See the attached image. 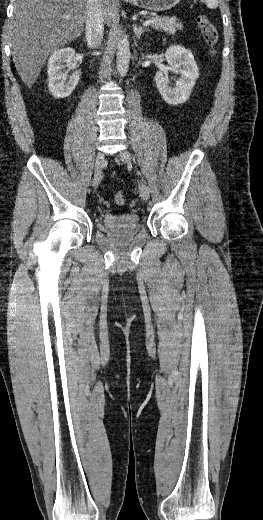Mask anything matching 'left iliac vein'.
Here are the masks:
<instances>
[{
	"instance_id": "1",
	"label": "left iliac vein",
	"mask_w": 263,
	"mask_h": 520,
	"mask_svg": "<svg viewBox=\"0 0 263 520\" xmlns=\"http://www.w3.org/2000/svg\"><path fill=\"white\" fill-rule=\"evenodd\" d=\"M118 157L126 164L131 163V154L128 150H122L118 153ZM139 192L143 200H148L150 196L149 188L144 182L139 183Z\"/></svg>"
}]
</instances>
